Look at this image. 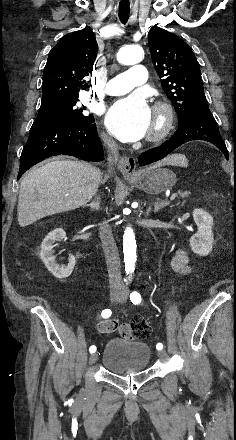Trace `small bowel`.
I'll list each match as a JSON object with an SVG mask.
<instances>
[{"instance_id": "c3829d8e", "label": "small bowel", "mask_w": 236, "mask_h": 440, "mask_svg": "<svg viewBox=\"0 0 236 440\" xmlns=\"http://www.w3.org/2000/svg\"><path fill=\"white\" fill-rule=\"evenodd\" d=\"M172 269L178 274H188L192 271L189 255L183 249H178L172 258ZM100 331L106 334L119 333L122 342H131L134 337L129 321L103 320L98 323Z\"/></svg>"}]
</instances>
